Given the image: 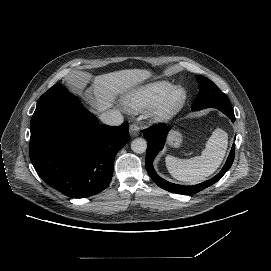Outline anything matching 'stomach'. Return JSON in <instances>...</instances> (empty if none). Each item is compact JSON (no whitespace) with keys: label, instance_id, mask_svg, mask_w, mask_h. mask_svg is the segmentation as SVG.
Instances as JSON below:
<instances>
[{"label":"stomach","instance_id":"1","mask_svg":"<svg viewBox=\"0 0 271 271\" xmlns=\"http://www.w3.org/2000/svg\"><path fill=\"white\" fill-rule=\"evenodd\" d=\"M170 143L172 144V145H175V146H177V145H179V143H180V137H179V135L178 134H173L172 136H171V138H170Z\"/></svg>","mask_w":271,"mask_h":271}]
</instances>
